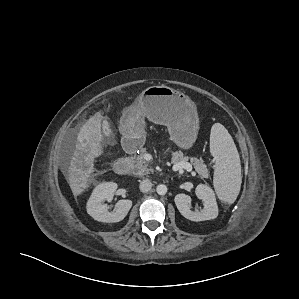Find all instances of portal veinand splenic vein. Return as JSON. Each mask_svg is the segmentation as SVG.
I'll list each match as a JSON object with an SVG mask.
<instances>
[{
	"mask_svg": "<svg viewBox=\"0 0 299 299\" xmlns=\"http://www.w3.org/2000/svg\"><path fill=\"white\" fill-rule=\"evenodd\" d=\"M181 169H186L188 172L192 171V165L188 162H181V163H176L172 166L173 171H178Z\"/></svg>",
	"mask_w": 299,
	"mask_h": 299,
	"instance_id": "obj_1",
	"label": "portal vein and splenic vein"
}]
</instances>
